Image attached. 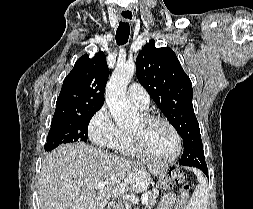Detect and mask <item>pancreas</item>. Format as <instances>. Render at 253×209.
I'll return each instance as SVG.
<instances>
[{"label": "pancreas", "mask_w": 253, "mask_h": 209, "mask_svg": "<svg viewBox=\"0 0 253 209\" xmlns=\"http://www.w3.org/2000/svg\"><path fill=\"white\" fill-rule=\"evenodd\" d=\"M158 196V193L148 192V200L145 203V209H152V207L157 203Z\"/></svg>", "instance_id": "cf45deb5"}]
</instances>
